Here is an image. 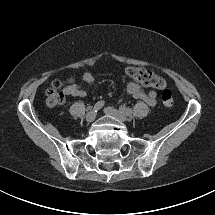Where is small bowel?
Returning a JSON list of instances; mask_svg holds the SVG:
<instances>
[{"label": "small bowel", "instance_id": "c3829d8e", "mask_svg": "<svg viewBox=\"0 0 215 215\" xmlns=\"http://www.w3.org/2000/svg\"><path fill=\"white\" fill-rule=\"evenodd\" d=\"M81 79L86 84H93L95 78L90 72H85L81 76ZM64 94L71 97H85L86 91L82 89L78 84H70L64 88ZM127 92L135 99H139L145 102L147 105L153 107L157 103V94L155 91H149L146 93L140 85L134 82H130L127 86Z\"/></svg>", "mask_w": 215, "mask_h": 215}]
</instances>
